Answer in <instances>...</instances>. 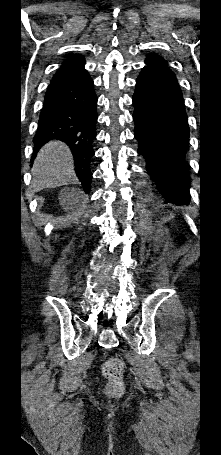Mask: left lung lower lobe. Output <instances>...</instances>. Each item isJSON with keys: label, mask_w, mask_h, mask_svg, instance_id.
Here are the masks:
<instances>
[{"label": "left lung lower lobe", "mask_w": 221, "mask_h": 455, "mask_svg": "<svg viewBox=\"0 0 221 455\" xmlns=\"http://www.w3.org/2000/svg\"><path fill=\"white\" fill-rule=\"evenodd\" d=\"M133 104L134 135L148 174L164 197L189 203L185 153L190 132L182 92L172 70L163 64L143 67Z\"/></svg>", "instance_id": "1"}]
</instances>
